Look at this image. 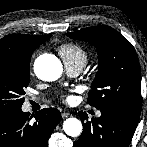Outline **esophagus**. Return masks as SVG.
<instances>
[{
	"label": "esophagus",
	"instance_id": "obj_1",
	"mask_svg": "<svg viewBox=\"0 0 147 147\" xmlns=\"http://www.w3.org/2000/svg\"><path fill=\"white\" fill-rule=\"evenodd\" d=\"M71 116V114L69 112H63L62 113V118L65 119L67 117Z\"/></svg>",
	"mask_w": 147,
	"mask_h": 147
}]
</instances>
